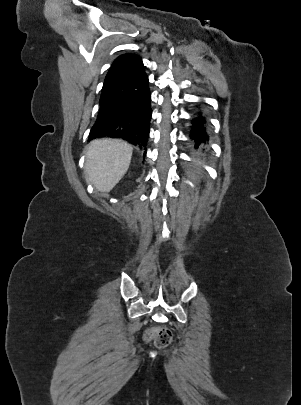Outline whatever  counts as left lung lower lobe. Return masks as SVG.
I'll list each match as a JSON object with an SVG mask.
<instances>
[{"label":"left lung lower lobe","instance_id":"obj_1","mask_svg":"<svg viewBox=\"0 0 301 405\" xmlns=\"http://www.w3.org/2000/svg\"><path fill=\"white\" fill-rule=\"evenodd\" d=\"M206 123L205 118L199 114L198 118L192 120L193 129L190 132V138L195 143V147L206 144L208 141V136L206 134L204 124Z\"/></svg>","mask_w":301,"mask_h":405}]
</instances>
